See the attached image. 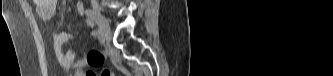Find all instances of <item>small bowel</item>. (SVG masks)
<instances>
[{
    "label": "small bowel",
    "mask_w": 333,
    "mask_h": 76,
    "mask_svg": "<svg viewBox=\"0 0 333 76\" xmlns=\"http://www.w3.org/2000/svg\"><path fill=\"white\" fill-rule=\"evenodd\" d=\"M57 4L58 0H37L36 11L41 18L45 20H51L55 15V9ZM77 10L81 15H84L83 3L81 1L77 2ZM86 23L90 27L94 26L93 22L88 18L86 19ZM91 34L93 36L95 35L94 32H92ZM74 41H76V37L66 33L63 29L53 34L52 44L58 64L61 68L67 70L75 69L77 76H84V69L87 66H90L92 68H99L103 64L105 56L97 51H91L88 57H83L79 60H76V51L74 49H69L66 51L63 50L64 44ZM83 52L87 53L88 49L84 48ZM103 71L104 70H102L101 72Z\"/></svg>",
    "instance_id": "c3829d8e"
}]
</instances>
